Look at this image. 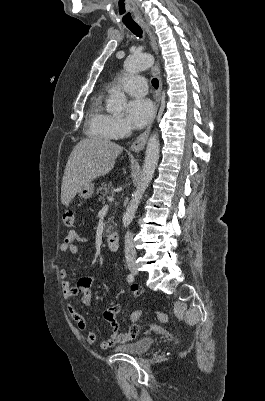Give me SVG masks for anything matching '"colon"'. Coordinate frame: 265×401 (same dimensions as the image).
<instances>
[{
    "label": "colon",
    "instance_id": "colon-1",
    "mask_svg": "<svg viewBox=\"0 0 265 401\" xmlns=\"http://www.w3.org/2000/svg\"><path fill=\"white\" fill-rule=\"evenodd\" d=\"M63 223L66 227L74 226L75 215L72 211H66L63 214ZM144 312H145V310L141 309V310H136L131 314L130 319L133 324H132L131 328L127 331V335L129 338L133 339L137 336V334L139 332V327L135 322L139 317H141L144 314ZM155 316L160 322H162V323L167 322V319H168L167 315L164 314L163 312L157 311V312H155Z\"/></svg>",
    "mask_w": 265,
    "mask_h": 401
}]
</instances>
